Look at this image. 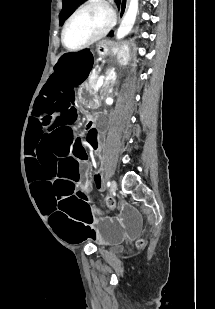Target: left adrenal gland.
<instances>
[{
    "instance_id": "1",
    "label": "left adrenal gland",
    "mask_w": 215,
    "mask_h": 309,
    "mask_svg": "<svg viewBox=\"0 0 215 309\" xmlns=\"http://www.w3.org/2000/svg\"><path fill=\"white\" fill-rule=\"evenodd\" d=\"M116 68H110L109 70V78L108 80H106V82H112V84H114V82H116V78H117V72H115Z\"/></svg>"
}]
</instances>
